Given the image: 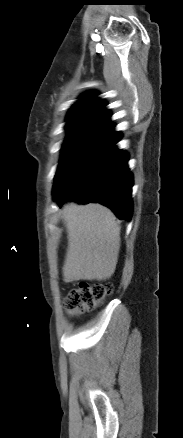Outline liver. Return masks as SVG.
Masks as SVG:
<instances>
[{
	"mask_svg": "<svg viewBox=\"0 0 183 438\" xmlns=\"http://www.w3.org/2000/svg\"><path fill=\"white\" fill-rule=\"evenodd\" d=\"M68 249L63 267L66 283L109 279L120 250V226L114 214L100 204L64 205Z\"/></svg>",
	"mask_w": 183,
	"mask_h": 438,
	"instance_id": "obj_1",
	"label": "liver"
}]
</instances>
